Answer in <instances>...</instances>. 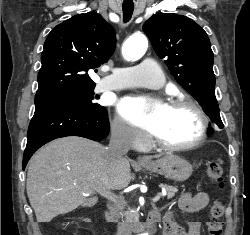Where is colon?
I'll list each match as a JSON object with an SVG mask.
<instances>
[{"label": "colon", "mask_w": 250, "mask_h": 235, "mask_svg": "<svg viewBox=\"0 0 250 235\" xmlns=\"http://www.w3.org/2000/svg\"><path fill=\"white\" fill-rule=\"evenodd\" d=\"M208 179L217 184L223 185V169L217 162H211L207 167ZM224 207L221 202L214 201L209 208V220L207 222L210 235H222L223 223L221 217Z\"/></svg>", "instance_id": "colon-1"}]
</instances>
